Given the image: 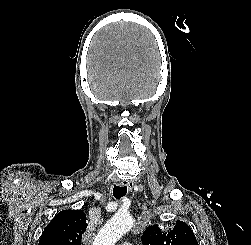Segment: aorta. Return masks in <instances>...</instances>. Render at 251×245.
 I'll use <instances>...</instances> for the list:
<instances>
[{
	"mask_svg": "<svg viewBox=\"0 0 251 245\" xmlns=\"http://www.w3.org/2000/svg\"><path fill=\"white\" fill-rule=\"evenodd\" d=\"M133 225L132 217L126 212H118L98 232L93 245H115Z\"/></svg>",
	"mask_w": 251,
	"mask_h": 245,
	"instance_id": "obj_1",
	"label": "aorta"
}]
</instances>
